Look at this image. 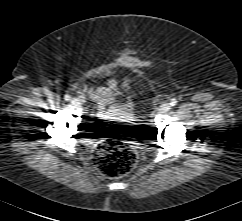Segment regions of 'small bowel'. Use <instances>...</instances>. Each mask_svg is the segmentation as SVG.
I'll return each instance as SVG.
<instances>
[{
	"mask_svg": "<svg viewBox=\"0 0 242 221\" xmlns=\"http://www.w3.org/2000/svg\"><path fill=\"white\" fill-rule=\"evenodd\" d=\"M117 80L111 78L105 87L94 88L90 85L84 87L86 95L96 103V117L99 119H107L109 116L121 109L114 103L117 91Z\"/></svg>",
	"mask_w": 242,
	"mask_h": 221,
	"instance_id": "small-bowel-1",
	"label": "small bowel"
}]
</instances>
